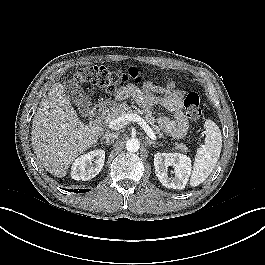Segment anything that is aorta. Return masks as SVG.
<instances>
[{
  "instance_id": "obj_1",
  "label": "aorta",
  "mask_w": 265,
  "mask_h": 265,
  "mask_svg": "<svg viewBox=\"0 0 265 265\" xmlns=\"http://www.w3.org/2000/svg\"><path fill=\"white\" fill-rule=\"evenodd\" d=\"M140 148V142L137 138H131L126 143V149L129 152H137Z\"/></svg>"
}]
</instances>
